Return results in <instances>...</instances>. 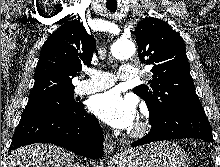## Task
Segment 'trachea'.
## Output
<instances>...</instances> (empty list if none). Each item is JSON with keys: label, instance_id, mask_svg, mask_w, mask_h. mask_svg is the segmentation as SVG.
Listing matches in <instances>:
<instances>
[{"label": "trachea", "instance_id": "obj_1", "mask_svg": "<svg viewBox=\"0 0 220 167\" xmlns=\"http://www.w3.org/2000/svg\"><path fill=\"white\" fill-rule=\"evenodd\" d=\"M107 9L110 11V12H115L117 10V6H107Z\"/></svg>", "mask_w": 220, "mask_h": 167}]
</instances>
